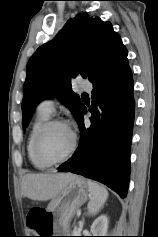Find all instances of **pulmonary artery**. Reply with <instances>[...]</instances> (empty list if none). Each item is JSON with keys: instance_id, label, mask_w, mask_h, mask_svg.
<instances>
[{"instance_id": "e3ab8cb5", "label": "pulmonary artery", "mask_w": 158, "mask_h": 237, "mask_svg": "<svg viewBox=\"0 0 158 237\" xmlns=\"http://www.w3.org/2000/svg\"><path fill=\"white\" fill-rule=\"evenodd\" d=\"M78 86L87 90L92 88L91 83L86 79L79 80ZM38 109L45 113L52 114L54 112V100L52 98L42 100L38 105Z\"/></svg>"}]
</instances>
